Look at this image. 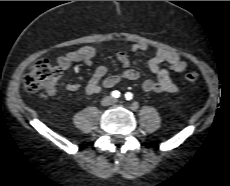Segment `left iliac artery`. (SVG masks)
Instances as JSON below:
<instances>
[{"mask_svg": "<svg viewBox=\"0 0 230 186\" xmlns=\"http://www.w3.org/2000/svg\"><path fill=\"white\" fill-rule=\"evenodd\" d=\"M132 98H133V94H132V93L127 92V93L125 94V99H126V100H131Z\"/></svg>", "mask_w": 230, "mask_h": 186, "instance_id": "1", "label": "left iliac artery"}]
</instances>
